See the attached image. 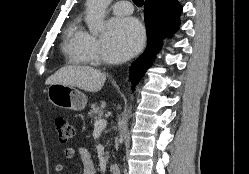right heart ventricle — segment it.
Returning a JSON list of instances; mask_svg holds the SVG:
<instances>
[{
  "label": "right heart ventricle",
  "instance_id": "1",
  "mask_svg": "<svg viewBox=\"0 0 249 174\" xmlns=\"http://www.w3.org/2000/svg\"><path fill=\"white\" fill-rule=\"evenodd\" d=\"M86 32L79 20H74L66 29L63 51L68 61L75 65H87L91 60L87 57L83 49V42Z\"/></svg>",
  "mask_w": 249,
  "mask_h": 174
}]
</instances>
